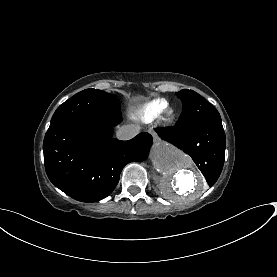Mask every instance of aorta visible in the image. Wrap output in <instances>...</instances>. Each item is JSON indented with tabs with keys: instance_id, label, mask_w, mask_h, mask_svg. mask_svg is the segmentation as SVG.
Wrapping results in <instances>:
<instances>
[{
	"instance_id": "1",
	"label": "aorta",
	"mask_w": 277,
	"mask_h": 277,
	"mask_svg": "<svg viewBox=\"0 0 277 277\" xmlns=\"http://www.w3.org/2000/svg\"><path fill=\"white\" fill-rule=\"evenodd\" d=\"M151 159L160 175L159 186L166 199L184 204L204 193L206 182L203 175L182 151L158 141Z\"/></svg>"
}]
</instances>
